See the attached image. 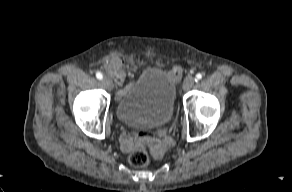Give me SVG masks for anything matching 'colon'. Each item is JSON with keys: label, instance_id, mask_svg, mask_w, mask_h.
<instances>
[{"label": "colon", "instance_id": "obj_1", "mask_svg": "<svg viewBox=\"0 0 292 192\" xmlns=\"http://www.w3.org/2000/svg\"><path fill=\"white\" fill-rule=\"evenodd\" d=\"M114 78L119 83H121L123 81L124 74L122 73V71L120 69H116L115 70ZM143 135H144L145 138H147L145 133H143ZM129 160H130V163L134 167H144L149 162V155H148L147 151H145V150H138V151L133 152L130 155Z\"/></svg>", "mask_w": 292, "mask_h": 192}]
</instances>
